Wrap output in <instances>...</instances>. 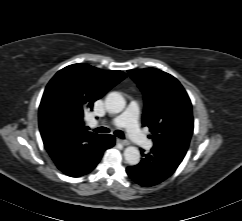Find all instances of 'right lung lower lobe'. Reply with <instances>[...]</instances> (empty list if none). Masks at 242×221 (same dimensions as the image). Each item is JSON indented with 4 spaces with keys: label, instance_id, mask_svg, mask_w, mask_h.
<instances>
[{
    "label": "right lung lower lobe",
    "instance_id": "98d812e1",
    "mask_svg": "<svg viewBox=\"0 0 242 221\" xmlns=\"http://www.w3.org/2000/svg\"><path fill=\"white\" fill-rule=\"evenodd\" d=\"M113 135H99L98 138L87 143L79 155L66 164L57 165L65 174L71 177H79L88 174L100 161L103 152L114 146Z\"/></svg>",
    "mask_w": 242,
    "mask_h": 221
}]
</instances>
